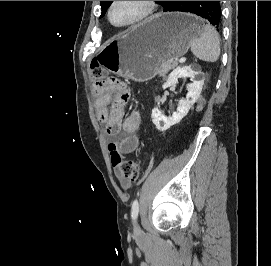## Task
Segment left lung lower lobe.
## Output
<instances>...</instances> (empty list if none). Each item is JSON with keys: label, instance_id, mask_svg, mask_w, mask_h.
I'll use <instances>...</instances> for the list:
<instances>
[{"label": "left lung lower lobe", "instance_id": "obj_1", "mask_svg": "<svg viewBox=\"0 0 271 266\" xmlns=\"http://www.w3.org/2000/svg\"><path fill=\"white\" fill-rule=\"evenodd\" d=\"M163 11L194 13L207 19L217 30L221 23L220 1H170Z\"/></svg>", "mask_w": 271, "mask_h": 266}]
</instances>
